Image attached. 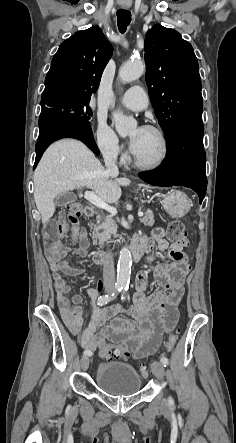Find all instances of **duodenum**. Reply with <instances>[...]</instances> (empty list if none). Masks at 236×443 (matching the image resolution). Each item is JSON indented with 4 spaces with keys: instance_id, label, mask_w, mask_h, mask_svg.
Masks as SVG:
<instances>
[{
    "instance_id": "duodenum-1",
    "label": "duodenum",
    "mask_w": 236,
    "mask_h": 443,
    "mask_svg": "<svg viewBox=\"0 0 236 443\" xmlns=\"http://www.w3.org/2000/svg\"><path fill=\"white\" fill-rule=\"evenodd\" d=\"M85 214L87 217L92 218L95 216V210L91 206H87L85 209ZM142 250L139 247L132 246L131 253L134 260H138L141 257ZM94 262L98 265H104L108 261L107 256L101 251H95L93 254Z\"/></svg>"
}]
</instances>
